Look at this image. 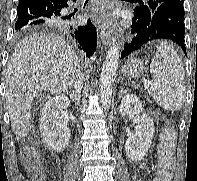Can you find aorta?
Instances as JSON below:
<instances>
[{
    "instance_id": "obj_1",
    "label": "aorta",
    "mask_w": 197,
    "mask_h": 181,
    "mask_svg": "<svg viewBox=\"0 0 197 181\" xmlns=\"http://www.w3.org/2000/svg\"><path fill=\"white\" fill-rule=\"evenodd\" d=\"M119 57V46L117 42H113L107 52L100 74L99 90L101 103L104 109H108L111 104L112 87L115 80Z\"/></svg>"
}]
</instances>
